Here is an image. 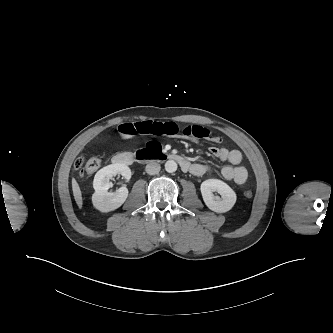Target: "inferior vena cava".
Masks as SVG:
<instances>
[{
    "label": "inferior vena cava",
    "instance_id": "inferior-vena-cava-1",
    "mask_svg": "<svg viewBox=\"0 0 333 333\" xmlns=\"http://www.w3.org/2000/svg\"><path fill=\"white\" fill-rule=\"evenodd\" d=\"M161 169L160 164L153 162V163H149L146 165V172L150 175H155L157 173H159Z\"/></svg>",
    "mask_w": 333,
    "mask_h": 333
}]
</instances>
